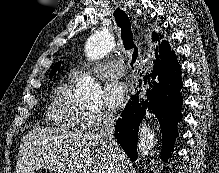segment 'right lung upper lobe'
<instances>
[{"label":"right lung upper lobe","mask_w":219,"mask_h":173,"mask_svg":"<svg viewBox=\"0 0 219 173\" xmlns=\"http://www.w3.org/2000/svg\"><path fill=\"white\" fill-rule=\"evenodd\" d=\"M159 37L161 38L162 36L158 35L157 33L152 34L153 41L159 40ZM156 50L158 51L155 53V57L157 58L156 62H157V60H159V58H164L171 52V48H170L167 41H162L160 46H159V49L157 47Z\"/></svg>","instance_id":"cb5924a9"}]
</instances>
